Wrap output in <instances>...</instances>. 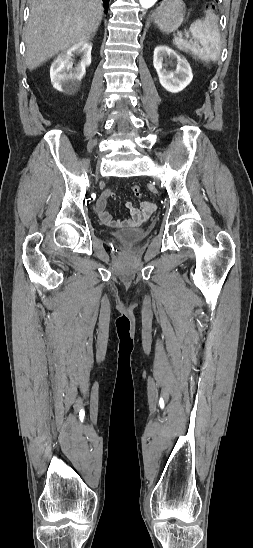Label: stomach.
Returning a JSON list of instances; mask_svg holds the SVG:
<instances>
[{
    "label": "stomach",
    "mask_w": 253,
    "mask_h": 548,
    "mask_svg": "<svg viewBox=\"0 0 253 548\" xmlns=\"http://www.w3.org/2000/svg\"><path fill=\"white\" fill-rule=\"evenodd\" d=\"M185 12L186 7L182 0H164L156 10L153 20L161 31L170 33L181 25Z\"/></svg>",
    "instance_id": "obj_1"
}]
</instances>
